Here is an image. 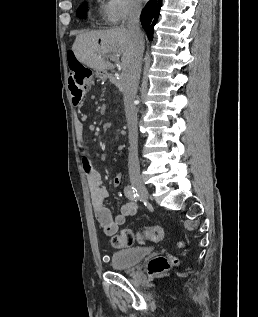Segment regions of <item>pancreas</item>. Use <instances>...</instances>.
Wrapping results in <instances>:
<instances>
[{
    "instance_id": "cf45deb5",
    "label": "pancreas",
    "mask_w": 258,
    "mask_h": 317,
    "mask_svg": "<svg viewBox=\"0 0 258 317\" xmlns=\"http://www.w3.org/2000/svg\"><path fill=\"white\" fill-rule=\"evenodd\" d=\"M111 80H112L113 83H118V82H120V84H123L122 78L119 79L118 76H113Z\"/></svg>"
}]
</instances>
